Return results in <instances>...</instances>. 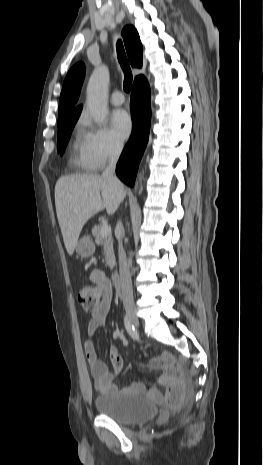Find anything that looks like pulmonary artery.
Here are the masks:
<instances>
[{
	"mask_svg": "<svg viewBox=\"0 0 263 465\" xmlns=\"http://www.w3.org/2000/svg\"><path fill=\"white\" fill-rule=\"evenodd\" d=\"M124 96L121 92L119 91H115L112 95H111V98H110V101L113 105L115 106H119V105H122L124 103Z\"/></svg>",
	"mask_w": 263,
	"mask_h": 465,
	"instance_id": "pulmonary-artery-1",
	"label": "pulmonary artery"
}]
</instances>
